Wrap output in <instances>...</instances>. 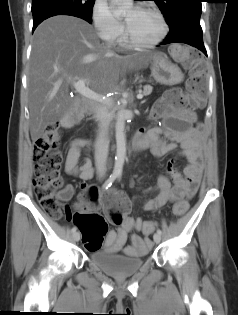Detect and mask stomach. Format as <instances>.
<instances>
[{
	"mask_svg": "<svg viewBox=\"0 0 238 315\" xmlns=\"http://www.w3.org/2000/svg\"><path fill=\"white\" fill-rule=\"evenodd\" d=\"M150 69L155 81L164 85L177 84L185 77V74L164 54L151 61Z\"/></svg>",
	"mask_w": 238,
	"mask_h": 315,
	"instance_id": "stomach-1",
	"label": "stomach"
}]
</instances>
